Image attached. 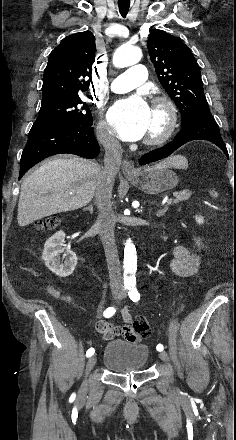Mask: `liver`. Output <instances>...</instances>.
Returning a JSON list of instances; mask_svg holds the SVG:
<instances>
[{
	"mask_svg": "<svg viewBox=\"0 0 236 440\" xmlns=\"http://www.w3.org/2000/svg\"><path fill=\"white\" fill-rule=\"evenodd\" d=\"M184 161V157L176 156L157 166L180 168ZM100 173L97 163L78 157L54 159L43 164L21 185L19 226L86 206L95 194Z\"/></svg>",
	"mask_w": 236,
	"mask_h": 440,
	"instance_id": "1",
	"label": "liver"
}]
</instances>
